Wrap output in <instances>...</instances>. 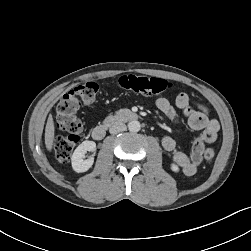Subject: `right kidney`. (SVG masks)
Here are the masks:
<instances>
[{
  "label": "right kidney",
  "mask_w": 251,
  "mask_h": 251,
  "mask_svg": "<svg viewBox=\"0 0 251 251\" xmlns=\"http://www.w3.org/2000/svg\"><path fill=\"white\" fill-rule=\"evenodd\" d=\"M96 150V144L94 141H83L74 151L71 162H72V168L77 173L86 172L89 170L93 163L94 158L90 157L89 159L84 160L85 154L87 151L94 152Z\"/></svg>",
  "instance_id": "obj_1"
}]
</instances>
